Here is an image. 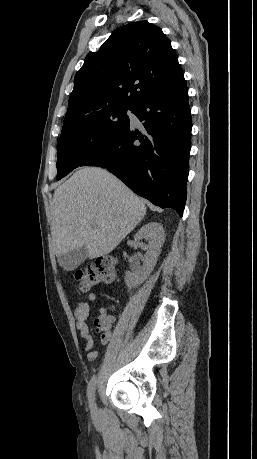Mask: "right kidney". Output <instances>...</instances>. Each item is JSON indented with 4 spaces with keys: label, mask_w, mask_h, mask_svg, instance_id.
Instances as JSON below:
<instances>
[{
    "label": "right kidney",
    "mask_w": 257,
    "mask_h": 459,
    "mask_svg": "<svg viewBox=\"0 0 257 459\" xmlns=\"http://www.w3.org/2000/svg\"><path fill=\"white\" fill-rule=\"evenodd\" d=\"M134 239L137 242L145 240L148 244L140 243L141 248L146 251L143 267L136 268L134 272H126L125 282L129 289L143 283L153 271L165 241L163 226L157 222H149L136 233Z\"/></svg>",
    "instance_id": "obj_1"
}]
</instances>
